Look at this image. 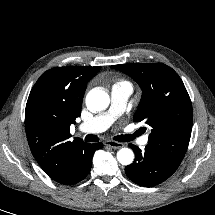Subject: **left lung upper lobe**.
<instances>
[{
	"mask_svg": "<svg viewBox=\"0 0 215 215\" xmlns=\"http://www.w3.org/2000/svg\"><path fill=\"white\" fill-rule=\"evenodd\" d=\"M131 76L143 93L134 121H145L152 130L148 144L181 162L192 131V104L179 75L162 63L112 65Z\"/></svg>",
	"mask_w": 215,
	"mask_h": 215,
	"instance_id": "5c2ea615",
	"label": "left lung upper lobe"
}]
</instances>
